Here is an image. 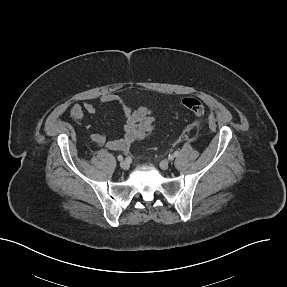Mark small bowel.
Wrapping results in <instances>:
<instances>
[{"mask_svg": "<svg viewBox=\"0 0 287 287\" xmlns=\"http://www.w3.org/2000/svg\"><path fill=\"white\" fill-rule=\"evenodd\" d=\"M116 103L122 108L124 118L123 136L118 139H108L103 133L92 134L90 139L94 144L105 146L113 151H127L131 145L143 139L153 127V114L151 109L141 106L132 109L121 97L113 94L104 95L98 104L84 102L82 105L73 104L70 106L69 113L73 120L80 124L86 114H94L100 107L106 104Z\"/></svg>", "mask_w": 287, "mask_h": 287, "instance_id": "obj_1", "label": "small bowel"}]
</instances>
